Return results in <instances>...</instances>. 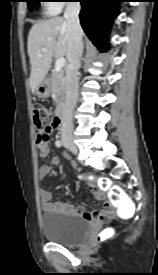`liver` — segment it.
I'll return each instance as SVG.
<instances>
[{
    "label": "liver",
    "instance_id": "1",
    "mask_svg": "<svg viewBox=\"0 0 158 275\" xmlns=\"http://www.w3.org/2000/svg\"><path fill=\"white\" fill-rule=\"evenodd\" d=\"M28 55L31 64L30 88L35 92L46 77L52 58L67 55V22L63 17L38 21L28 35Z\"/></svg>",
    "mask_w": 158,
    "mask_h": 275
}]
</instances>
